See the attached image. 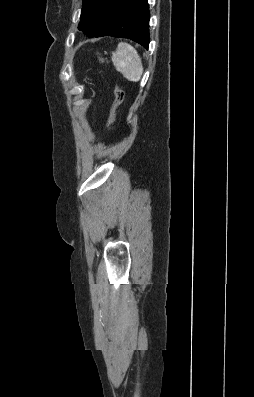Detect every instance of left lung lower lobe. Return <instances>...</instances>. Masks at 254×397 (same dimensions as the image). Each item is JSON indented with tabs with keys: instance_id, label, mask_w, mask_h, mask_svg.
<instances>
[{
	"instance_id": "left-lung-lower-lobe-1",
	"label": "left lung lower lobe",
	"mask_w": 254,
	"mask_h": 397,
	"mask_svg": "<svg viewBox=\"0 0 254 397\" xmlns=\"http://www.w3.org/2000/svg\"><path fill=\"white\" fill-rule=\"evenodd\" d=\"M102 19L89 37L115 36L136 41L148 49L149 5L147 0H107Z\"/></svg>"
}]
</instances>
